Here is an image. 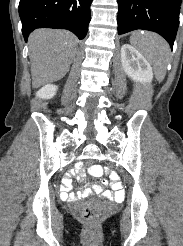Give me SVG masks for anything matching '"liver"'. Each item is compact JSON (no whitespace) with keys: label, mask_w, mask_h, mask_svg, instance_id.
<instances>
[{"label":"liver","mask_w":183,"mask_h":246,"mask_svg":"<svg viewBox=\"0 0 183 246\" xmlns=\"http://www.w3.org/2000/svg\"><path fill=\"white\" fill-rule=\"evenodd\" d=\"M77 37L64 30L39 29L29 36L32 87L62 79L77 51Z\"/></svg>","instance_id":"obj_1"}]
</instances>
